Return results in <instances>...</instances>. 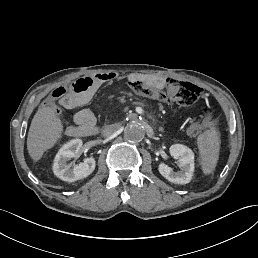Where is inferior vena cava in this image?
<instances>
[{
  "label": "inferior vena cava",
  "instance_id": "inferior-vena-cava-1",
  "mask_svg": "<svg viewBox=\"0 0 258 258\" xmlns=\"http://www.w3.org/2000/svg\"><path fill=\"white\" fill-rule=\"evenodd\" d=\"M116 127L114 125H107L103 131H102V134L104 136H110L111 134H113L115 131H116Z\"/></svg>",
  "mask_w": 258,
  "mask_h": 258
}]
</instances>
